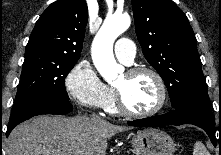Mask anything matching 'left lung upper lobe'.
Here are the masks:
<instances>
[{
	"mask_svg": "<svg viewBox=\"0 0 221 155\" xmlns=\"http://www.w3.org/2000/svg\"><path fill=\"white\" fill-rule=\"evenodd\" d=\"M142 51L165 82L172 107L207 92L196 38L186 15L172 0H132Z\"/></svg>",
	"mask_w": 221,
	"mask_h": 155,
	"instance_id": "1",
	"label": "left lung upper lobe"
}]
</instances>
